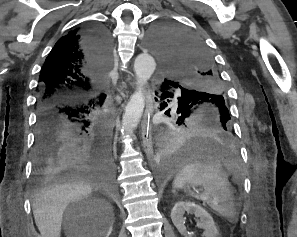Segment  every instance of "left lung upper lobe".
<instances>
[{
  "label": "left lung upper lobe",
  "instance_id": "5c2ea615",
  "mask_svg": "<svg viewBox=\"0 0 297 237\" xmlns=\"http://www.w3.org/2000/svg\"><path fill=\"white\" fill-rule=\"evenodd\" d=\"M148 42L169 78L165 82L181 89L179 98L186 111L218 113L231 127L222 78L204 42L170 23L154 26L148 34Z\"/></svg>",
  "mask_w": 297,
  "mask_h": 237
}]
</instances>
